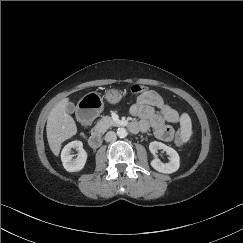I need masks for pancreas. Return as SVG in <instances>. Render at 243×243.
Wrapping results in <instances>:
<instances>
[{"label":"pancreas","mask_w":243,"mask_h":243,"mask_svg":"<svg viewBox=\"0 0 243 243\" xmlns=\"http://www.w3.org/2000/svg\"><path fill=\"white\" fill-rule=\"evenodd\" d=\"M114 125L115 122L110 116H104L96 123L94 130L99 133H104L107 129Z\"/></svg>","instance_id":"1"}]
</instances>
